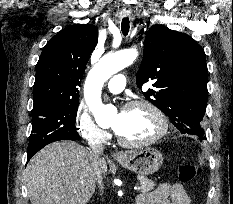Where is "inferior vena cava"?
<instances>
[{
	"label": "inferior vena cava",
	"mask_w": 233,
	"mask_h": 204,
	"mask_svg": "<svg viewBox=\"0 0 233 204\" xmlns=\"http://www.w3.org/2000/svg\"><path fill=\"white\" fill-rule=\"evenodd\" d=\"M90 148L92 150L91 152L93 156V162L96 164L99 161L101 154L103 153V150H104L103 143L101 142L100 139H95L92 142H90ZM94 176L100 188L103 189L102 174L98 169H94Z\"/></svg>",
	"instance_id": "1"
}]
</instances>
